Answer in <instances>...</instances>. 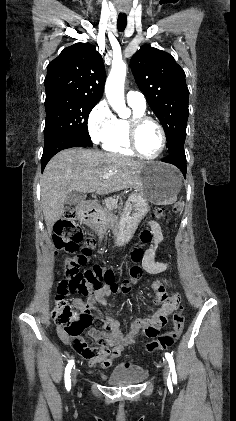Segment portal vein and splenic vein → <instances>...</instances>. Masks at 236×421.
<instances>
[{"label": "portal vein and splenic vein", "instance_id": "obj_1", "mask_svg": "<svg viewBox=\"0 0 236 421\" xmlns=\"http://www.w3.org/2000/svg\"><path fill=\"white\" fill-rule=\"evenodd\" d=\"M110 174H103L102 178H109Z\"/></svg>", "mask_w": 236, "mask_h": 421}]
</instances>
